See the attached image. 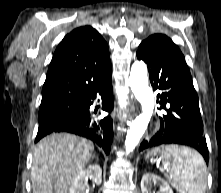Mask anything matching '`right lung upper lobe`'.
Returning <instances> with one entry per match:
<instances>
[{
  "mask_svg": "<svg viewBox=\"0 0 221 193\" xmlns=\"http://www.w3.org/2000/svg\"><path fill=\"white\" fill-rule=\"evenodd\" d=\"M111 66L109 49L91 26L76 28L60 42L42 90V102L81 99L93 80Z\"/></svg>",
  "mask_w": 221,
  "mask_h": 193,
  "instance_id": "obj_1",
  "label": "right lung upper lobe"
}]
</instances>
